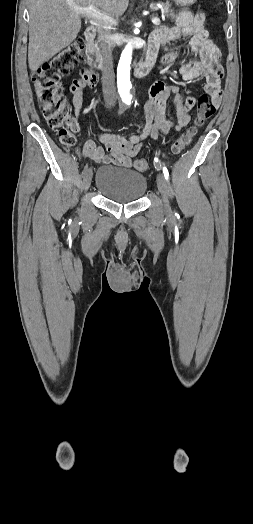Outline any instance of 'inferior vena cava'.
<instances>
[{"label":"inferior vena cava","instance_id":"1","mask_svg":"<svg viewBox=\"0 0 253 524\" xmlns=\"http://www.w3.org/2000/svg\"><path fill=\"white\" fill-rule=\"evenodd\" d=\"M102 52H103V65L102 70V88L104 92L105 102L114 106L116 103V90H115V75L112 67V48L113 43L109 36H101Z\"/></svg>","mask_w":253,"mask_h":524}]
</instances>
